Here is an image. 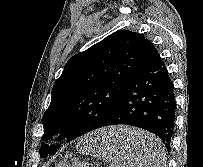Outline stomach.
Returning <instances> with one entry per match:
<instances>
[{"instance_id": "1", "label": "stomach", "mask_w": 203, "mask_h": 167, "mask_svg": "<svg viewBox=\"0 0 203 167\" xmlns=\"http://www.w3.org/2000/svg\"><path fill=\"white\" fill-rule=\"evenodd\" d=\"M112 128V127H111ZM109 129L110 128H108V129H105V132L106 131H109ZM104 130V129H103ZM99 133H101V134H103L104 132L101 130V131H98ZM126 152V150L125 149H115V153L116 154H120V155H122V154H124ZM75 167H89V164H78V165H76Z\"/></svg>"}]
</instances>
